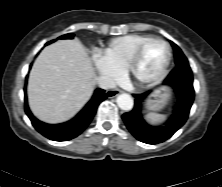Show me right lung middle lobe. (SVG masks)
Returning <instances> with one entry per match:
<instances>
[{
    "label": "right lung middle lobe",
    "mask_w": 222,
    "mask_h": 187,
    "mask_svg": "<svg viewBox=\"0 0 222 187\" xmlns=\"http://www.w3.org/2000/svg\"><path fill=\"white\" fill-rule=\"evenodd\" d=\"M73 36H74V34H66V35L60 36L59 39H72ZM54 41L55 40H52V41L48 42L46 45H48V44H50V43H52Z\"/></svg>",
    "instance_id": "right-lung-middle-lobe-1"
}]
</instances>
